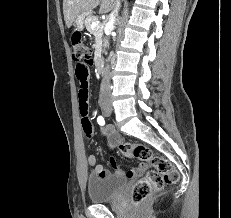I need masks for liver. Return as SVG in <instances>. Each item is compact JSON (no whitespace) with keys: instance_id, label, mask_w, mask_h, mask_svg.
<instances>
[{"instance_id":"1","label":"liver","mask_w":231,"mask_h":218,"mask_svg":"<svg viewBox=\"0 0 231 218\" xmlns=\"http://www.w3.org/2000/svg\"><path fill=\"white\" fill-rule=\"evenodd\" d=\"M101 3V4H100ZM116 0H63V14L66 26L70 28L79 14L90 15L100 4L99 13H107L115 6Z\"/></svg>"}]
</instances>
